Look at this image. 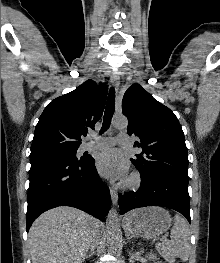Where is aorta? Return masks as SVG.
I'll list each match as a JSON object with an SVG mask.
<instances>
[{
	"label": "aorta",
	"instance_id": "762f6f07",
	"mask_svg": "<svg viewBox=\"0 0 220 263\" xmlns=\"http://www.w3.org/2000/svg\"><path fill=\"white\" fill-rule=\"evenodd\" d=\"M128 124L127 119L124 116H117L113 119L112 125L114 128L122 129L126 128ZM107 238L110 246L114 249L117 244L119 220L118 213L115 209H110L107 215Z\"/></svg>",
	"mask_w": 220,
	"mask_h": 263
}]
</instances>
